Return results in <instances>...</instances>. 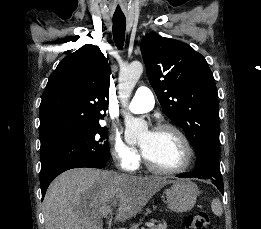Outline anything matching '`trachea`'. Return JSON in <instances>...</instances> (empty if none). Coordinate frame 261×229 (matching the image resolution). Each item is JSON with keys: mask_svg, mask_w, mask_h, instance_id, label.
<instances>
[{"mask_svg": "<svg viewBox=\"0 0 261 229\" xmlns=\"http://www.w3.org/2000/svg\"><path fill=\"white\" fill-rule=\"evenodd\" d=\"M126 18L113 16V37L116 46L121 50L125 40Z\"/></svg>", "mask_w": 261, "mask_h": 229, "instance_id": "1", "label": "trachea"}]
</instances>
